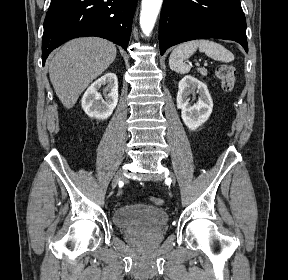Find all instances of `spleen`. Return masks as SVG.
<instances>
[{"label":"spleen","instance_id":"obj_1","mask_svg":"<svg viewBox=\"0 0 288 280\" xmlns=\"http://www.w3.org/2000/svg\"><path fill=\"white\" fill-rule=\"evenodd\" d=\"M197 49L214 60L226 63L234 60V55L219 43L207 39L192 40L178 45L172 51L169 57L170 69L180 74L189 73L191 67L184 60L189 58Z\"/></svg>","mask_w":288,"mask_h":280}]
</instances>
